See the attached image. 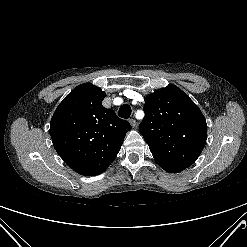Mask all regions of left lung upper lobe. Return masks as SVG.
<instances>
[{
	"instance_id": "left-lung-upper-lobe-1",
	"label": "left lung upper lobe",
	"mask_w": 247,
	"mask_h": 247,
	"mask_svg": "<svg viewBox=\"0 0 247 247\" xmlns=\"http://www.w3.org/2000/svg\"><path fill=\"white\" fill-rule=\"evenodd\" d=\"M139 129L156 161L191 166L207 139L206 120L196 104L170 84L147 96Z\"/></svg>"
}]
</instances>
